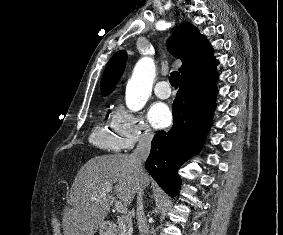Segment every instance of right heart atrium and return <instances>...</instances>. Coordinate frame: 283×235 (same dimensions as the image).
Returning <instances> with one entry per match:
<instances>
[{
  "mask_svg": "<svg viewBox=\"0 0 283 235\" xmlns=\"http://www.w3.org/2000/svg\"><path fill=\"white\" fill-rule=\"evenodd\" d=\"M112 123L119 134L122 149L127 150L137 144L150 143L154 137L153 130L146 120L122 105L115 110Z\"/></svg>",
  "mask_w": 283,
  "mask_h": 235,
  "instance_id": "obj_1",
  "label": "right heart atrium"
}]
</instances>
